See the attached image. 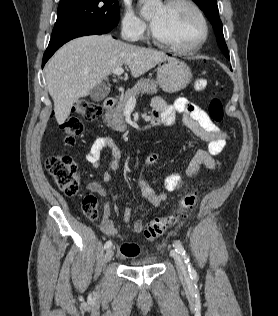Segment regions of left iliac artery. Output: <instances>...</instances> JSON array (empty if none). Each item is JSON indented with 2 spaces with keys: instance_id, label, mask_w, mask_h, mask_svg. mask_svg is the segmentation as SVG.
<instances>
[{
  "instance_id": "44dca946",
  "label": "left iliac artery",
  "mask_w": 278,
  "mask_h": 316,
  "mask_svg": "<svg viewBox=\"0 0 278 316\" xmlns=\"http://www.w3.org/2000/svg\"><path fill=\"white\" fill-rule=\"evenodd\" d=\"M173 246L175 247L176 252H178L183 258L184 261L188 267V271H189V275L191 278H195L196 277V271L194 270V268L192 267L190 260L187 256L186 250L184 249V247L182 246V244L179 241H174Z\"/></svg>"
}]
</instances>
